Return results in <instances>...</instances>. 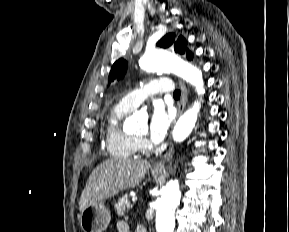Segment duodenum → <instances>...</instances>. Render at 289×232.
Segmentation results:
<instances>
[{
  "instance_id": "duodenum-1",
  "label": "duodenum",
  "mask_w": 289,
  "mask_h": 232,
  "mask_svg": "<svg viewBox=\"0 0 289 232\" xmlns=\"http://www.w3.org/2000/svg\"><path fill=\"white\" fill-rule=\"evenodd\" d=\"M135 232H147L143 226H138Z\"/></svg>"
}]
</instances>
